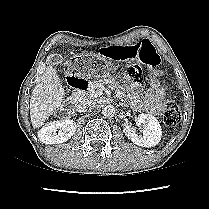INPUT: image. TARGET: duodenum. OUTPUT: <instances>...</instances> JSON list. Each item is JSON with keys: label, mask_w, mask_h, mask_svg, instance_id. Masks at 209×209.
Returning <instances> with one entry per match:
<instances>
[{"label": "duodenum", "mask_w": 209, "mask_h": 209, "mask_svg": "<svg viewBox=\"0 0 209 209\" xmlns=\"http://www.w3.org/2000/svg\"><path fill=\"white\" fill-rule=\"evenodd\" d=\"M69 82L72 87V93L68 97V103L71 106H75L78 103L82 92L87 89L89 82L88 80L79 77H70Z\"/></svg>", "instance_id": "obj_1"}]
</instances>
